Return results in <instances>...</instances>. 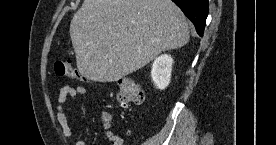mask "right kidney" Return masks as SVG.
<instances>
[{"label": "right kidney", "instance_id": "1", "mask_svg": "<svg viewBox=\"0 0 276 145\" xmlns=\"http://www.w3.org/2000/svg\"><path fill=\"white\" fill-rule=\"evenodd\" d=\"M172 64L173 59L167 54L161 55L154 60L151 69V77L158 89L163 90L169 85Z\"/></svg>", "mask_w": 276, "mask_h": 145}]
</instances>
